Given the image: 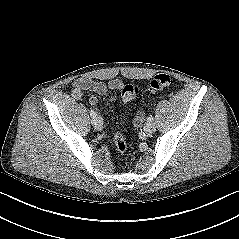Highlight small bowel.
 <instances>
[{
	"label": "small bowel",
	"instance_id": "c3829d8e",
	"mask_svg": "<svg viewBox=\"0 0 239 239\" xmlns=\"http://www.w3.org/2000/svg\"><path fill=\"white\" fill-rule=\"evenodd\" d=\"M122 87L123 83L118 79L112 80L106 84L87 78H79L72 83L71 93L74 98L78 99L82 97L84 92L91 91L105 97L110 101H114L116 99V96L112 92L119 91ZM88 102L91 106H96L98 99L97 97L92 96L89 98ZM141 120L142 115L139 114L135 119V124L138 125Z\"/></svg>",
	"mask_w": 239,
	"mask_h": 239
}]
</instances>
